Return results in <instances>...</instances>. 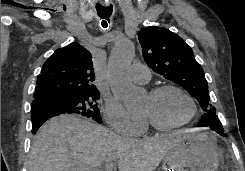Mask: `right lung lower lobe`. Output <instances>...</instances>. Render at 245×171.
Returning <instances> with one entry per match:
<instances>
[{"label": "right lung lower lobe", "instance_id": "right-lung-lower-lobe-1", "mask_svg": "<svg viewBox=\"0 0 245 171\" xmlns=\"http://www.w3.org/2000/svg\"><path fill=\"white\" fill-rule=\"evenodd\" d=\"M60 114H67V112L58 105L53 104L48 100H38L32 102V133L35 134L40 126L49 118L58 116Z\"/></svg>", "mask_w": 245, "mask_h": 171}]
</instances>
